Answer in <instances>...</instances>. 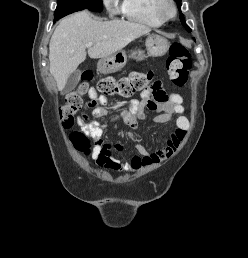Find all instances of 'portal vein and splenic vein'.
<instances>
[{"mask_svg":"<svg viewBox=\"0 0 248 258\" xmlns=\"http://www.w3.org/2000/svg\"><path fill=\"white\" fill-rule=\"evenodd\" d=\"M93 46V43H88V44H86V47H92Z\"/></svg>","mask_w":248,"mask_h":258,"instance_id":"portal-vein-and-splenic-vein-1","label":"portal vein and splenic vein"}]
</instances>
